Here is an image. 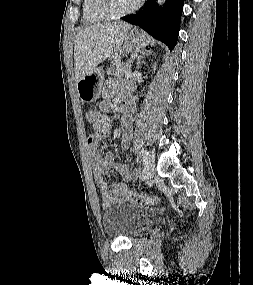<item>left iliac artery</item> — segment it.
<instances>
[{"label":"left iliac artery","mask_w":253,"mask_h":285,"mask_svg":"<svg viewBox=\"0 0 253 285\" xmlns=\"http://www.w3.org/2000/svg\"><path fill=\"white\" fill-rule=\"evenodd\" d=\"M148 155H149V152L145 148H142L141 149V156H142L143 162H146Z\"/></svg>","instance_id":"obj_1"}]
</instances>
